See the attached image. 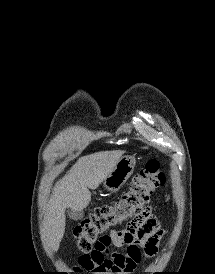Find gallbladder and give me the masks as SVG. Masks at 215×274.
<instances>
[{"mask_svg":"<svg viewBox=\"0 0 215 274\" xmlns=\"http://www.w3.org/2000/svg\"><path fill=\"white\" fill-rule=\"evenodd\" d=\"M65 214L67 217L75 221L81 220L84 216V212L82 210H73L69 208L66 209Z\"/></svg>","mask_w":215,"mask_h":274,"instance_id":"1","label":"gallbladder"}]
</instances>
